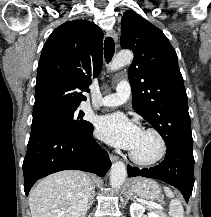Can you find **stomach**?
<instances>
[{
	"mask_svg": "<svg viewBox=\"0 0 211 217\" xmlns=\"http://www.w3.org/2000/svg\"><path fill=\"white\" fill-rule=\"evenodd\" d=\"M130 190L141 198L147 200H160L161 188L151 178H137L131 183Z\"/></svg>",
	"mask_w": 211,
	"mask_h": 217,
	"instance_id": "0dacf381",
	"label": "stomach"
}]
</instances>
